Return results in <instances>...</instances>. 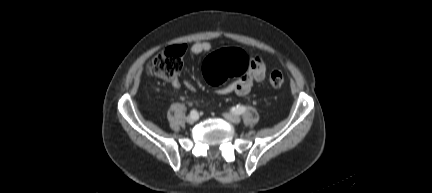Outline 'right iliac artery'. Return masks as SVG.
<instances>
[{"label":"right iliac artery","mask_w":432,"mask_h":193,"mask_svg":"<svg viewBox=\"0 0 432 193\" xmlns=\"http://www.w3.org/2000/svg\"><path fill=\"white\" fill-rule=\"evenodd\" d=\"M190 115L191 116H196L197 115V111L195 109L191 110Z\"/></svg>","instance_id":"82829eb1"}]
</instances>
